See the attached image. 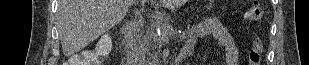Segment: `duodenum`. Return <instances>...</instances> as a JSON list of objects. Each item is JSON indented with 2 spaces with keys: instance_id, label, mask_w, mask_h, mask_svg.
I'll return each mask as SVG.
<instances>
[{
  "instance_id": "1",
  "label": "duodenum",
  "mask_w": 309,
  "mask_h": 65,
  "mask_svg": "<svg viewBox=\"0 0 309 65\" xmlns=\"http://www.w3.org/2000/svg\"><path fill=\"white\" fill-rule=\"evenodd\" d=\"M144 26V21L141 20H135L131 22L126 29L123 31L121 35V45L124 47L130 43L136 38L138 33L141 31L142 27ZM193 52V49L190 47H186L182 50V52L179 54V56L176 59L175 64H180L183 60L190 57ZM123 65H129L125 59L122 60Z\"/></svg>"
}]
</instances>
